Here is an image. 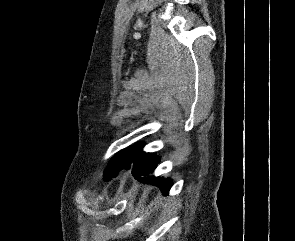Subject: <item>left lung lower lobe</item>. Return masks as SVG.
Returning a JSON list of instances; mask_svg holds the SVG:
<instances>
[{
  "label": "left lung lower lobe",
  "instance_id": "1",
  "mask_svg": "<svg viewBox=\"0 0 295 241\" xmlns=\"http://www.w3.org/2000/svg\"><path fill=\"white\" fill-rule=\"evenodd\" d=\"M159 160L160 158L153 153H143L139 158L135 159L124 169L131 170V173L136 180L155 185L160 188L164 195H168L172 186L171 180H165L163 177L155 178L153 176H149V173L153 172L156 168Z\"/></svg>",
  "mask_w": 295,
  "mask_h": 241
}]
</instances>
